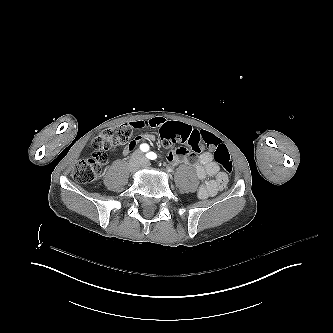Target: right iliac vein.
<instances>
[{"instance_id":"right-iliac-vein-1","label":"right iliac vein","mask_w":333,"mask_h":333,"mask_svg":"<svg viewBox=\"0 0 333 333\" xmlns=\"http://www.w3.org/2000/svg\"><path fill=\"white\" fill-rule=\"evenodd\" d=\"M135 155H139L140 159L142 158L141 152H138V153L136 152ZM143 160H144V157H143ZM130 167L132 169V172H136L139 169L140 164L139 163L138 164H131Z\"/></svg>"}]
</instances>
